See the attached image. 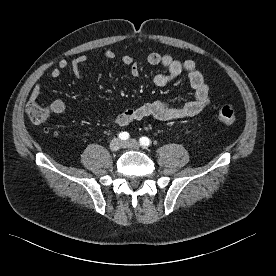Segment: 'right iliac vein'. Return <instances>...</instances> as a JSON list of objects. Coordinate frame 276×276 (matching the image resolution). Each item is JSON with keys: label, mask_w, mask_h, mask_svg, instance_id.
<instances>
[{"label": "right iliac vein", "mask_w": 276, "mask_h": 276, "mask_svg": "<svg viewBox=\"0 0 276 276\" xmlns=\"http://www.w3.org/2000/svg\"><path fill=\"white\" fill-rule=\"evenodd\" d=\"M121 147H122V142H121V140L118 139V138H114V139L110 142V149H111V151L116 152V151L120 150Z\"/></svg>", "instance_id": "obj_1"}]
</instances>
